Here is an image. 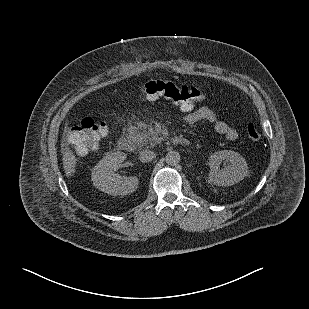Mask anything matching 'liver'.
Segmentation results:
<instances>
[{
	"label": "liver",
	"instance_id": "liver-1",
	"mask_svg": "<svg viewBox=\"0 0 309 309\" xmlns=\"http://www.w3.org/2000/svg\"><path fill=\"white\" fill-rule=\"evenodd\" d=\"M63 167L66 173V176H70L74 172L76 158L72 151L65 150L63 152Z\"/></svg>",
	"mask_w": 309,
	"mask_h": 309
}]
</instances>
